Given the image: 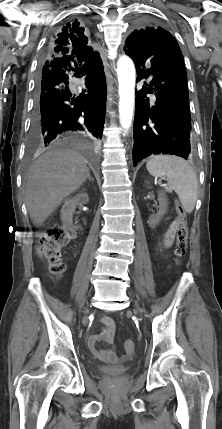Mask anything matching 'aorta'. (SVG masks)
Returning <instances> with one entry per match:
<instances>
[{"label": "aorta", "mask_w": 222, "mask_h": 429, "mask_svg": "<svg viewBox=\"0 0 222 429\" xmlns=\"http://www.w3.org/2000/svg\"><path fill=\"white\" fill-rule=\"evenodd\" d=\"M119 82L120 125L127 131L132 124L136 71L133 61L128 56H121L117 62Z\"/></svg>", "instance_id": "obj_1"}]
</instances>
